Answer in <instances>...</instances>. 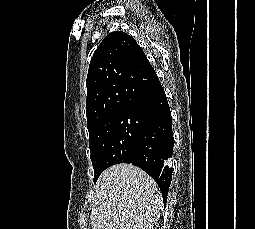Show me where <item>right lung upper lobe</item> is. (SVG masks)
<instances>
[{"label": "right lung upper lobe", "mask_w": 255, "mask_h": 229, "mask_svg": "<svg viewBox=\"0 0 255 229\" xmlns=\"http://www.w3.org/2000/svg\"><path fill=\"white\" fill-rule=\"evenodd\" d=\"M156 76L132 36L121 31L108 34L94 52L86 80L89 136L104 121L138 101Z\"/></svg>", "instance_id": "right-lung-upper-lobe-1"}]
</instances>
